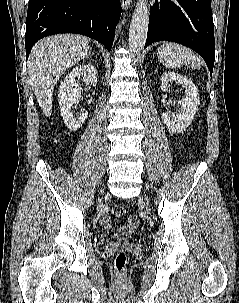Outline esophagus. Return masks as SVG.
I'll list each match as a JSON object with an SVG mask.
<instances>
[{
  "instance_id": "esophagus-1",
  "label": "esophagus",
  "mask_w": 239,
  "mask_h": 303,
  "mask_svg": "<svg viewBox=\"0 0 239 303\" xmlns=\"http://www.w3.org/2000/svg\"><path fill=\"white\" fill-rule=\"evenodd\" d=\"M121 2L124 10H127L131 4V0H121Z\"/></svg>"
}]
</instances>
